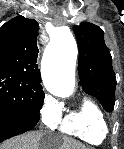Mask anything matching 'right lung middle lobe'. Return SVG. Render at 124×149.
Here are the masks:
<instances>
[{"label":"right lung middle lobe","mask_w":124,"mask_h":149,"mask_svg":"<svg viewBox=\"0 0 124 149\" xmlns=\"http://www.w3.org/2000/svg\"><path fill=\"white\" fill-rule=\"evenodd\" d=\"M43 100L42 87L33 86L18 73L0 69V113L39 114Z\"/></svg>","instance_id":"right-lung-middle-lobe-1"}]
</instances>
